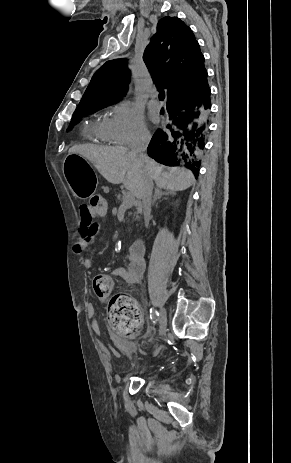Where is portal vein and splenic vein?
<instances>
[{"label": "portal vein and splenic vein", "instance_id": "18ae733b", "mask_svg": "<svg viewBox=\"0 0 291 463\" xmlns=\"http://www.w3.org/2000/svg\"><path fill=\"white\" fill-rule=\"evenodd\" d=\"M133 204H134V195L130 191H127L123 195L122 206L125 208H129Z\"/></svg>", "mask_w": 291, "mask_h": 463}]
</instances>
